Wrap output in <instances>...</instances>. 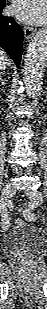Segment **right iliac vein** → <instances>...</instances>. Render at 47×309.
Here are the masks:
<instances>
[{
	"instance_id": "obj_1",
	"label": "right iliac vein",
	"mask_w": 47,
	"mask_h": 309,
	"mask_svg": "<svg viewBox=\"0 0 47 309\" xmlns=\"http://www.w3.org/2000/svg\"><path fill=\"white\" fill-rule=\"evenodd\" d=\"M14 194H15L14 184L11 183L7 184L2 190V198H3L2 203L6 204ZM8 227H9V221L5 225H2L3 230L8 229Z\"/></svg>"
}]
</instances>
